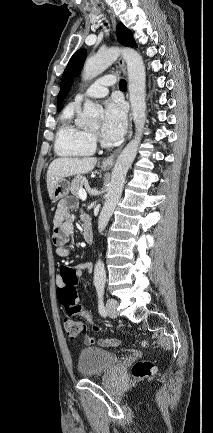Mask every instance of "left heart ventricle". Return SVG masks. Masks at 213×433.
I'll return each mask as SVG.
<instances>
[{
	"label": "left heart ventricle",
	"mask_w": 213,
	"mask_h": 433,
	"mask_svg": "<svg viewBox=\"0 0 213 433\" xmlns=\"http://www.w3.org/2000/svg\"><path fill=\"white\" fill-rule=\"evenodd\" d=\"M92 131H93V132H97V131H98V128H95V129H93Z\"/></svg>",
	"instance_id": "b2bd125f"
}]
</instances>
